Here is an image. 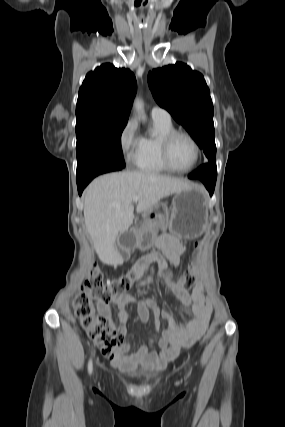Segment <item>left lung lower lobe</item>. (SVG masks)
I'll list each match as a JSON object with an SVG mask.
<instances>
[{"label": "left lung lower lobe", "instance_id": "obj_1", "mask_svg": "<svg viewBox=\"0 0 285 427\" xmlns=\"http://www.w3.org/2000/svg\"><path fill=\"white\" fill-rule=\"evenodd\" d=\"M217 177L216 160L200 166L193 173L188 175L189 179H200L208 189L210 195L213 194Z\"/></svg>", "mask_w": 285, "mask_h": 427}]
</instances>
